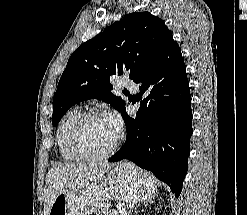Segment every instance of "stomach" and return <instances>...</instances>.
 I'll return each mask as SVG.
<instances>
[{"label":"stomach","instance_id":"1","mask_svg":"<svg viewBox=\"0 0 247 215\" xmlns=\"http://www.w3.org/2000/svg\"><path fill=\"white\" fill-rule=\"evenodd\" d=\"M157 191L154 180L131 163L114 166L96 185L82 193L59 194L48 215H89L112 198L120 202L149 200Z\"/></svg>","mask_w":247,"mask_h":215}]
</instances>
